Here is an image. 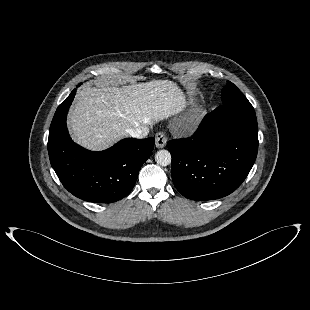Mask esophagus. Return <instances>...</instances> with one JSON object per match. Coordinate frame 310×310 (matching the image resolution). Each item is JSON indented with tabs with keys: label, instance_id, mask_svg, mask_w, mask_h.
<instances>
[{
	"label": "esophagus",
	"instance_id": "esophagus-1",
	"mask_svg": "<svg viewBox=\"0 0 310 310\" xmlns=\"http://www.w3.org/2000/svg\"><path fill=\"white\" fill-rule=\"evenodd\" d=\"M167 143V137L163 132H159L155 136V145L157 148H164Z\"/></svg>",
	"mask_w": 310,
	"mask_h": 310
}]
</instances>
